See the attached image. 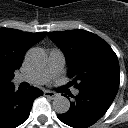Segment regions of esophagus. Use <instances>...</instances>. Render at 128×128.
Listing matches in <instances>:
<instances>
[{
	"label": "esophagus",
	"mask_w": 128,
	"mask_h": 128,
	"mask_svg": "<svg viewBox=\"0 0 128 128\" xmlns=\"http://www.w3.org/2000/svg\"><path fill=\"white\" fill-rule=\"evenodd\" d=\"M44 96L49 97L51 99H54L57 96V93H55L53 91L45 90L44 91Z\"/></svg>",
	"instance_id": "esophagus-1"
}]
</instances>
